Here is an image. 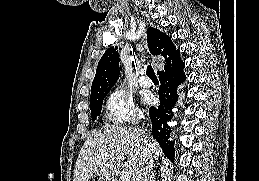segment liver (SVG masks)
I'll use <instances>...</instances> for the list:
<instances>
[{"label":"liver","instance_id":"6515ba94","mask_svg":"<svg viewBox=\"0 0 259 181\" xmlns=\"http://www.w3.org/2000/svg\"><path fill=\"white\" fill-rule=\"evenodd\" d=\"M146 148L152 160L162 155L157 141L141 129L104 127L95 130L87 136L80 150L73 181H88L96 175L109 181L124 166L130 174L129 181H136Z\"/></svg>","mask_w":259,"mask_h":181}]
</instances>
